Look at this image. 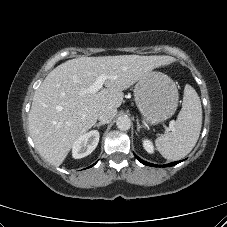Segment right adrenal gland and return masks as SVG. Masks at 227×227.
Wrapping results in <instances>:
<instances>
[{
	"instance_id": "right-adrenal-gland-1",
	"label": "right adrenal gland",
	"mask_w": 227,
	"mask_h": 227,
	"mask_svg": "<svg viewBox=\"0 0 227 227\" xmlns=\"http://www.w3.org/2000/svg\"><path fill=\"white\" fill-rule=\"evenodd\" d=\"M102 125H105V124H104V123L99 122V123H97V124H94V127H98V129H99V127H100V126H102Z\"/></svg>"
}]
</instances>
